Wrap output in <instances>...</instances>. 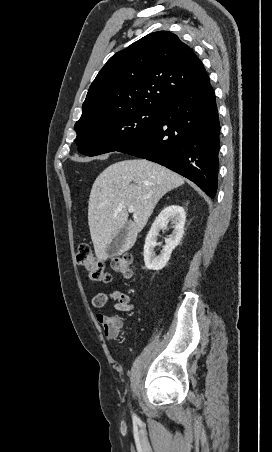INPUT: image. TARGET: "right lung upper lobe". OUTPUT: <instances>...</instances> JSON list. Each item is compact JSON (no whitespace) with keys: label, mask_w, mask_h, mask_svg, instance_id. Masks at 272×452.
<instances>
[{"label":"right lung upper lobe","mask_w":272,"mask_h":452,"mask_svg":"<svg viewBox=\"0 0 272 452\" xmlns=\"http://www.w3.org/2000/svg\"><path fill=\"white\" fill-rule=\"evenodd\" d=\"M208 81L189 46L173 33L154 32L107 61L88 90L78 121L140 106L163 108Z\"/></svg>","instance_id":"cb5924a9"}]
</instances>
